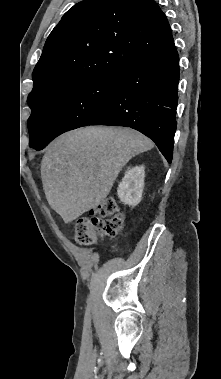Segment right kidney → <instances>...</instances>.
<instances>
[{"mask_svg": "<svg viewBox=\"0 0 221 379\" xmlns=\"http://www.w3.org/2000/svg\"><path fill=\"white\" fill-rule=\"evenodd\" d=\"M145 170L143 166L129 169L118 186V197L129 206H136L142 199Z\"/></svg>", "mask_w": 221, "mask_h": 379, "instance_id": "obj_1", "label": "right kidney"}]
</instances>
